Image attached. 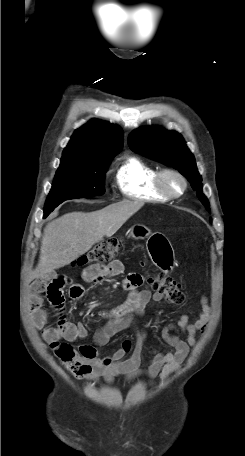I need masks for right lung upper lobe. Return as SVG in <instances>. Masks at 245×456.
<instances>
[{
  "label": "right lung upper lobe",
  "instance_id": "right-lung-upper-lobe-1",
  "mask_svg": "<svg viewBox=\"0 0 245 456\" xmlns=\"http://www.w3.org/2000/svg\"><path fill=\"white\" fill-rule=\"evenodd\" d=\"M123 140L121 128L93 119L75 131L64 149L61 163L99 161L114 157L121 150Z\"/></svg>",
  "mask_w": 245,
  "mask_h": 456
}]
</instances>
